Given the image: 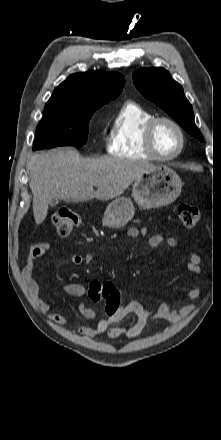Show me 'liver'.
I'll use <instances>...</instances> for the list:
<instances>
[{"label": "liver", "instance_id": "1", "mask_svg": "<svg viewBox=\"0 0 221 440\" xmlns=\"http://www.w3.org/2000/svg\"><path fill=\"white\" fill-rule=\"evenodd\" d=\"M35 223L41 224L53 199L83 202L120 196L143 173L154 167L146 161L112 157L88 159L71 148L33 155L27 162ZM98 190L94 191L93 187Z\"/></svg>", "mask_w": 221, "mask_h": 440}]
</instances>
